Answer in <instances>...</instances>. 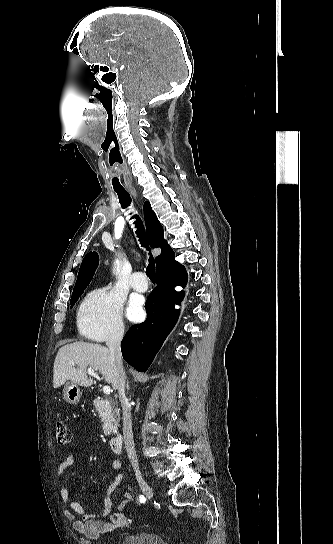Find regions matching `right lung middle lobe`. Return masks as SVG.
<instances>
[{"label":"right lung middle lobe","mask_w":333,"mask_h":544,"mask_svg":"<svg viewBox=\"0 0 333 544\" xmlns=\"http://www.w3.org/2000/svg\"><path fill=\"white\" fill-rule=\"evenodd\" d=\"M82 293H83V291L76 292V293L72 294V297H71V300H70L71 307L74 305V303L77 302L78 298L81 296Z\"/></svg>","instance_id":"1"}]
</instances>
